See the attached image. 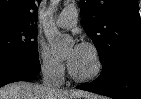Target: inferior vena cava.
<instances>
[{
    "label": "inferior vena cava",
    "instance_id": "obj_1",
    "mask_svg": "<svg viewBox=\"0 0 141 99\" xmlns=\"http://www.w3.org/2000/svg\"><path fill=\"white\" fill-rule=\"evenodd\" d=\"M43 85L48 89L55 88L52 82V70L49 66L43 68Z\"/></svg>",
    "mask_w": 141,
    "mask_h": 99
}]
</instances>
